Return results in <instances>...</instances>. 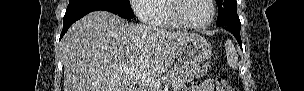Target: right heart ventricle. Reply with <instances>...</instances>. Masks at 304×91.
Segmentation results:
<instances>
[{"mask_svg": "<svg viewBox=\"0 0 304 91\" xmlns=\"http://www.w3.org/2000/svg\"><path fill=\"white\" fill-rule=\"evenodd\" d=\"M172 0H158L153 6L155 14L157 16L156 22L152 25L165 28H180V26L171 18L170 5Z\"/></svg>", "mask_w": 304, "mask_h": 91, "instance_id": "obj_1", "label": "right heart ventricle"}]
</instances>
